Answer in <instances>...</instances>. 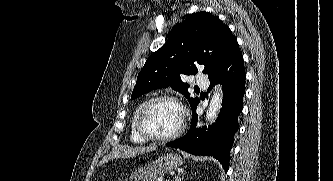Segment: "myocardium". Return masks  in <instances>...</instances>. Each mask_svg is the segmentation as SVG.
Segmentation results:
<instances>
[{
    "label": "myocardium",
    "instance_id": "1",
    "mask_svg": "<svg viewBox=\"0 0 333 181\" xmlns=\"http://www.w3.org/2000/svg\"><path fill=\"white\" fill-rule=\"evenodd\" d=\"M158 101L173 102L181 110L180 126L174 132L167 134V135H162V136L152 134L151 132H149L147 130V128L145 127V124H144V116H145L146 112L154 103H156ZM136 128L142 137H144L145 139L150 140V141L164 142V141L173 140V139L177 138L178 136H180L185 129V108H184L183 104L181 103V101L175 96L168 95V94L153 96L150 99L146 100L141 105L140 110L137 114V118H136Z\"/></svg>",
    "mask_w": 333,
    "mask_h": 181
}]
</instances>
